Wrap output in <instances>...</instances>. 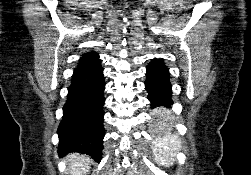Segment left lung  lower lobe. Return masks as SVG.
Instances as JSON below:
<instances>
[{
    "label": "left lung lower lobe",
    "mask_w": 251,
    "mask_h": 175,
    "mask_svg": "<svg viewBox=\"0 0 251 175\" xmlns=\"http://www.w3.org/2000/svg\"><path fill=\"white\" fill-rule=\"evenodd\" d=\"M146 76L145 86L149 93L150 108H157L152 112L151 118L162 120L168 116V112L164 108H168L173 104L171 99L172 86L170 84V74L163 59L158 60L154 58L147 66Z\"/></svg>",
    "instance_id": "left-lung-lower-lobe-1"
}]
</instances>
